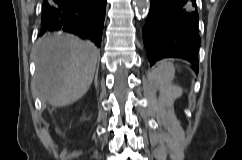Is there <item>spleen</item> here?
<instances>
[{
  "label": "spleen",
  "mask_w": 242,
  "mask_h": 160,
  "mask_svg": "<svg viewBox=\"0 0 242 160\" xmlns=\"http://www.w3.org/2000/svg\"><path fill=\"white\" fill-rule=\"evenodd\" d=\"M174 74V65L168 61L161 62L153 71L152 82L159 86L160 96L164 103L171 102L178 95L177 89L171 85Z\"/></svg>",
  "instance_id": "3e777b00"
}]
</instances>
